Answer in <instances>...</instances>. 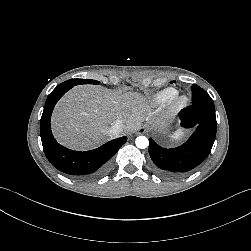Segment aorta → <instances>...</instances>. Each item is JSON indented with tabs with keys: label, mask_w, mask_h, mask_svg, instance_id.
<instances>
[{
	"label": "aorta",
	"mask_w": 251,
	"mask_h": 251,
	"mask_svg": "<svg viewBox=\"0 0 251 251\" xmlns=\"http://www.w3.org/2000/svg\"><path fill=\"white\" fill-rule=\"evenodd\" d=\"M136 145L140 148H145L148 145V140L145 136H137L135 139Z\"/></svg>",
	"instance_id": "762f6f07"
}]
</instances>
